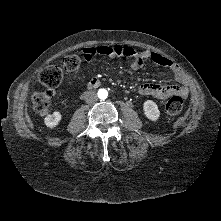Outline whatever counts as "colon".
<instances>
[{
	"mask_svg": "<svg viewBox=\"0 0 221 221\" xmlns=\"http://www.w3.org/2000/svg\"><path fill=\"white\" fill-rule=\"evenodd\" d=\"M80 58L76 55H70L64 58L63 68L50 65L43 68L39 75V82L47 88L57 87L63 80L64 71L77 72L80 68ZM54 98V92L52 90L47 91H35L31 95V101L33 109L37 113H45L50 107ZM183 110V100L180 96H173L168 100L165 105V111L170 116H175Z\"/></svg>",
	"mask_w": 221,
	"mask_h": 221,
	"instance_id": "5ec220e1",
	"label": "colon"
}]
</instances>
